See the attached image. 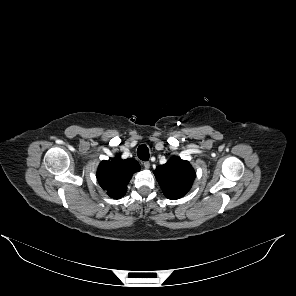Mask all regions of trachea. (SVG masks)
Masks as SVG:
<instances>
[{"label": "trachea", "mask_w": 296, "mask_h": 296, "mask_svg": "<svg viewBox=\"0 0 296 296\" xmlns=\"http://www.w3.org/2000/svg\"><path fill=\"white\" fill-rule=\"evenodd\" d=\"M137 155L139 159L143 161H148L149 160V149L145 144H142L138 147L137 150Z\"/></svg>", "instance_id": "1"}]
</instances>
